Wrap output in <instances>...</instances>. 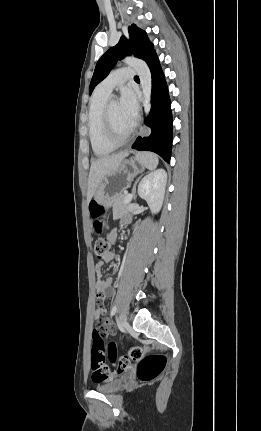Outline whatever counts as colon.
<instances>
[{"label":"colon","mask_w":261,"mask_h":431,"mask_svg":"<svg viewBox=\"0 0 261 431\" xmlns=\"http://www.w3.org/2000/svg\"><path fill=\"white\" fill-rule=\"evenodd\" d=\"M102 209L97 204H92L91 213L94 217H98ZM106 227L101 222L95 223L97 232H102ZM110 253V245L103 238H97L94 241V255L97 259H102ZM107 355L111 362L116 363V366H108L105 363V347L102 336L97 335V330L93 333V346L91 355V381L94 385L99 386L107 381L118 382L120 373H126L128 365L131 361L138 362L137 375L143 382L155 380L163 371L167 358L161 354L146 355V350L142 347H131L128 355L118 357L117 345L112 342L108 345Z\"/></svg>","instance_id":"5ec220e1"}]
</instances>
